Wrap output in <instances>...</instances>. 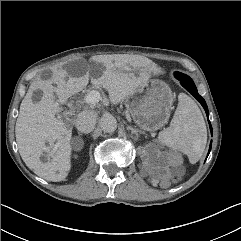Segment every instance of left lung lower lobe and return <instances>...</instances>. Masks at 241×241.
Wrapping results in <instances>:
<instances>
[{
    "label": "left lung lower lobe",
    "mask_w": 241,
    "mask_h": 241,
    "mask_svg": "<svg viewBox=\"0 0 241 241\" xmlns=\"http://www.w3.org/2000/svg\"><path fill=\"white\" fill-rule=\"evenodd\" d=\"M175 77L178 80H180L181 85L201 103V105L204 107V109L207 113V116H208V108L205 103V100L198 94L197 88H196L194 82L192 81V79L190 77H188L187 75H184L179 72L175 73ZM209 124H210V121H209ZM210 129L212 132L211 124H210ZM210 150H211V146H210L209 152H210Z\"/></svg>",
    "instance_id": "1"
}]
</instances>
